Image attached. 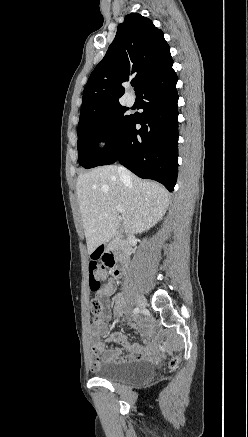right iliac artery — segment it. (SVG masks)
<instances>
[{
	"instance_id": "1",
	"label": "right iliac artery",
	"mask_w": 248,
	"mask_h": 437,
	"mask_svg": "<svg viewBox=\"0 0 248 437\" xmlns=\"http://www.w3.org/2000/svg\"><path fill=\"white\" fill-rule=\"evenodd\" d=\"M133 312H134V314H137L139 312V309L135 308Z\"/></svg>"
}]
</instances>
